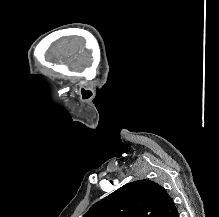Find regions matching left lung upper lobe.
I'll list each match as a JSON object with an SVG mask.
<instances>
[{
    "instance_id": "1",
    "label": "left lung upper lobe",
    "mask_w": 219,
    "mask_h": 217,
    "mask_svg": "<svg viewBox=\"0 0 219 217\" xmlns=\"http://www.w3.org/2000/svg\"><path fill=\"white\" fill-rule=\"evenodd\" d=\"M167 191L149 179L128 183L94 204L83 217H177Z\"/></svg>"
}]
</instances>
